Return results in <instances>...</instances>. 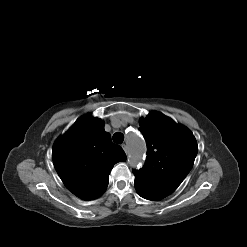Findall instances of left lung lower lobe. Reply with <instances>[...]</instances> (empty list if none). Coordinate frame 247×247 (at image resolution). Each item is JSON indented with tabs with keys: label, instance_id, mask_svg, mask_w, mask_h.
<instances>
[{
	"label": "left lung lower lobe",
	"instance_id": "left-lung-lower-lobe-1",
	"mask_svg": "<svg viewBox=\"0 0 247 247\" xmlns=\"http://www.w3.org/2000/svg\"><path fill=\"white\" fill-rule=\"evenodd\" d=\"M135 189L137 191V193L142 197V198H145V199H148V200H159L160 198L157 197L156 195L154 194H151L149 193L148 191H146L144 188H142L140 185H138L137 183H135Z\"/></svg>",
	"mask_w": 247,
	"mask_h": 247
}]
</instances>
